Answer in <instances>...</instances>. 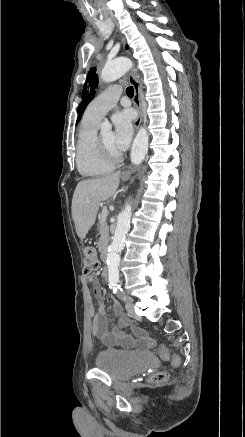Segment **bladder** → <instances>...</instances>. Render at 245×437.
<instances>
[{"mask_svg": "<svg viewBox=\"0 0 245 437\" xmlns=\"http://www.w3.org/2000/svg\"><path fill=\"white\" fill-rule=\"evenodd\" d=\"M155 363L153 355L139 351L107 350L95 358L96 368L107 373L115 381H126L152 368Z\"/></svg>", "mask_w": 245, "mask_h": 437, "instance_id": "1", "label": "bladder"}]
</instances>
